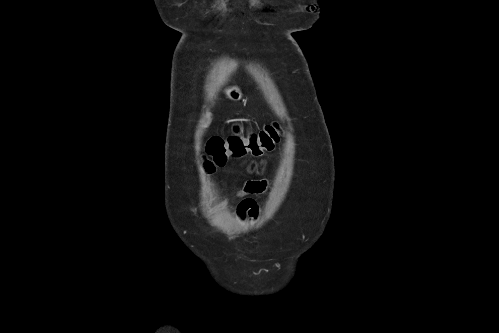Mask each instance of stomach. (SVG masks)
<instances>
[{
	"label": "stomach",
	"instance_id": "0dacf381",
	"mask_svg": "<svg viewBox=\"0 0 499 333\" xmlns=\"http://www.w3.org/2000/svg\"><path fill=\"white\" fill-rule=\"evenodd\" d=\"M226 95L229 99L238 101L241 99L242 94L237 87H232L226 90Z\"/></svg>",
	"mask_w": 499,
	"mask_h": 333
}]
</instances>
